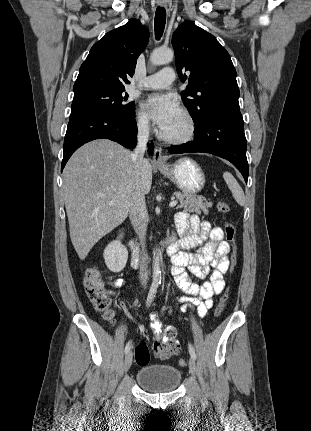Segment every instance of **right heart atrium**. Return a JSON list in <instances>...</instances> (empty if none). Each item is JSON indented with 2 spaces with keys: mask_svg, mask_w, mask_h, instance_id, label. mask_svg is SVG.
I'll return each instance as SVG.
<instances>
[{
  "mask_svg": "<svg viewBox=\"0 0 311 431\" xmlns=\"http://www.w3.org/2000/svg\"><path fill=\"white\" fill-rule=\"evenodd\" d=\"M133 125L136 132L144 137L149 136L153 131L150 117L140 107H137L134 111Z\"/></svg>",
  "mask_w": 311,
  "mask_h": 431,
  "instance_id": "obj_1",
  "label": "right heart atrium"
}]
</instances>
